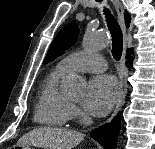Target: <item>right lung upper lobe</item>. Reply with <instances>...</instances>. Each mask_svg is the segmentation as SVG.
I'll use <instances>...</instances> for the list:
<instances>
[{"instance_id": "obj_1", "label": "right lung upper lobe", "mask_w": 155, "mask_h": 149, "mask_svg": "<svg viewBox=\"0 0 155 149\" xmlns=\"http://www.w3.org/2000/svg\"><path fill=\"white\" fill-rule=\"evenodd\" d=\"M124 16H125V24L126 26L130 25V21H131V17L129 15V13L127 11L124 12Z\"/></svg>"}]
</instances>
